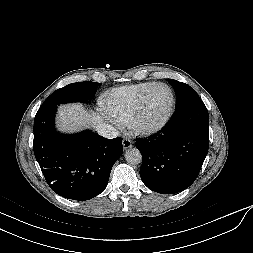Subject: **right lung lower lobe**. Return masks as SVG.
Returning <instances> with one entry per match:
<instances>
[{
  "label": "right lung lower lobe",
  "instance_id": "right-lung-lower-lobe-1",
  "mask_svg": "<svg viewBox=\"0 0 253 253\" xmlns=\"http://www.w3.org/2000/svg\"><path fill=\"white\" fill-rule=\"evenodd\" d=\"M57 105L41 106L34 119L33 149L50 188L60 196L84 201L107 186L111 169L123 153L121 138L106 139L91 131L56 132Z\"/></svg>",
  "mask_w": 253,
  "mask_h": 253
}]
</instances>
